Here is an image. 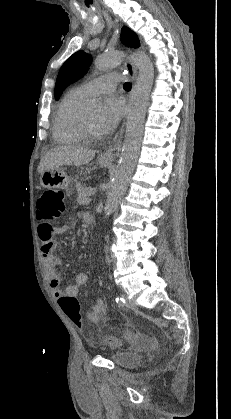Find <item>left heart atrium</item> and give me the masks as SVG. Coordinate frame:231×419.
<instances>
[{
	"label": "left heart atrium",
	"mask_w": 231,
	"mask_h": 419,
	"mask_svg": "<svg viewBox=\"0 0 231 419\" xmlns=\"http://www.w3.org/2000/svg\"><path fill=\"white\" fill-rule=\"evenodd\" d=\"M124 112L121 100L116 97H109L98 115V126L101 133H108L118 124Z\"/></svg>",
	"instance_id": "obj_1"
}]
</instances>
